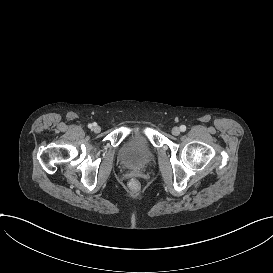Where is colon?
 Segmentation results:
<instances>
[{"label": "colon", "instance_id": "obj_1", "mask_svg": "<svg viewBox=\"0 0 273 273\" xmlns=\"http://www.w3.org/2000/svg\"><path fill=\"white\" fill-rule=\"evenodd\" d=\"M129 187H130L131 190L136 191V190L139 189L140 184H139L138 181L133 180V181L130 182Z\"/></svg>", "mask_w": 273, "mask_h": 273}]
</instances>
